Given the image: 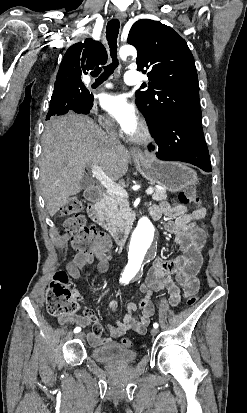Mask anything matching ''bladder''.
I'll return each instance as SVG.
<instances>
[{
    "instance_id": "31cf9c89",
    "label": "bladder",
    "mask_w": 247,
    "mask_h": 413,
    "mask_svg": "<svg viewBox=\"0 0 247 413\" xmlns=\"http://www.w3.org/2000/svg\"><path fill=\"white\" fill-rule=\"evenodd\" d=\"M91 356L96 362L105 364L131 363L137 357V352L123 348L117 342H107L100 348L91 350Z\"/></svg>"
}]
</instances>
